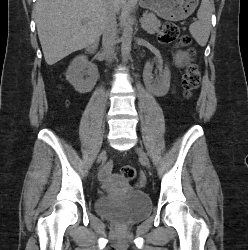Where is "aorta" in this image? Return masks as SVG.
<instances>
[{
  "mask_svg": "<svg viewBox=\"0 0 248 250\" xmlns=\"http://www.w3.org/2000/svg\"><path fill=\"white\" fill-rule=\"evenodd\" d=\"M133 35V19L131 13L128 12L125 16L124 28L121 38V53L123 61H127L131 51V42Z\"/></svg>",
  "mask_w": 248,
  "mask_h": 250,
  "instance_id": "1",
  "label": "aorta"
}]
</instances>
